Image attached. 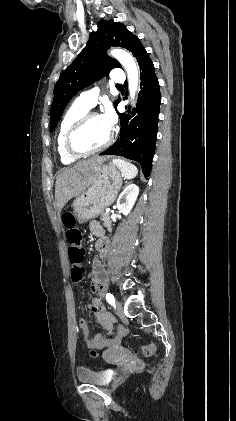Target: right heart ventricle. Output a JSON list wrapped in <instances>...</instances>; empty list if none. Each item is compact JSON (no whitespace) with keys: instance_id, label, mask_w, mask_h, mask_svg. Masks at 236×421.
<instances>
[{"instance_id":"e07e8e85","label":"right heart ventricle","mask_w":236,"mask_h":421,"mask_svg":"<svg viewBox=\"0 0 236 421\" xmlns=\"http://www.w3.org/2000/svg\"><path fill=\"white\" fill-rule=\"evenodd\" d=\"M87 110L74 103L63 115L56 138V148L59 159L63 164L69 165L76 161L77 158L71 156L65 148L64 139L70 125Z\"/></svg>"}]
</instances>
